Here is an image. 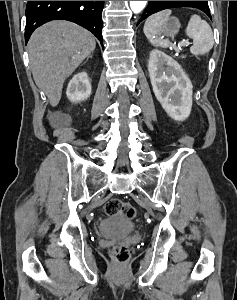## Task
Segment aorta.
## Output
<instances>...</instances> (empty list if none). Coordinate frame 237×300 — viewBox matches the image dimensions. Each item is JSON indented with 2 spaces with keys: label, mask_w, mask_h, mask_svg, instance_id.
<instances>
[{
  "label": "aorta",
  "mask_w": 237,
  "mask_h": 300,
  "mask_svg": "<svg viewBox=\"0 0 237 300\" xmlns=\"http://www.w3.org/2000/svg\"><path fill=\"white\" fill-rule=\"evenodd\" d=\"M146 5L147 1H130V9L133 13H141Z\"/></svg>",
  "instance_id": "aorta-1"
}]
</instances>
